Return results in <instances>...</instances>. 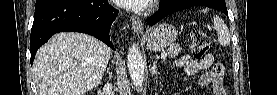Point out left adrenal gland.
<instances>
[{"mask_svg":"<svg viewBox=\"0 0 277 95\" xmlns=\"http://www.w3.org/2000/svg\"><path fill=\"white\" fill-rule=\"evenodd\" d=\"M156 67V62H153V68H155Z\"/></svg>","mask_w":277,"mask_h":95,"instance_id":"obj_1","label":"left adrenal gland"}]
</instances>
